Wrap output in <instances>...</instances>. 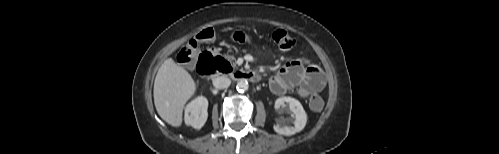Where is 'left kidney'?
Wrapping results in <instances>:
<instances>
[{
	"label": "left kidney",
	"mask_w": 499,
	"mask_h": 154,
	"mask_svg": "<svg viewBox=\"0 0 499 154\" xmlns=\"http://www.w3.org/2000/svg\"><path fill=\"white\" fill-rule=\"evenodd\" d=\"M275 109L281 112L290 111L294 118V126L274 125V131L281 135L290 136L304 129L307 123V114L301 103L292 97H280L275 101Z\"/></svg>",
	"instance_id": "obj_1"
}]
</instances>
